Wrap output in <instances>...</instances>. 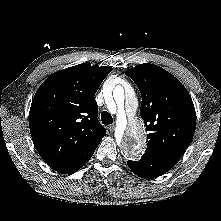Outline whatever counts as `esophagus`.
I'll return each mask as SVG.
<instances>
[{"instance_id":"esophagus-1","label":"esophagus","mask_w":221,"mask_h":221,"mask_svg":"<svg viewBox=\"0 0 221 221\" xmlns=\"http://www.w3.org/2000/svg\"><path fill=\"white\" fill-rule=\"evenodd\" d=\"M108 130H109L110 132H113V131L115 130V125H110V126L108 127Z\"/></svg>"}]
</instances>
